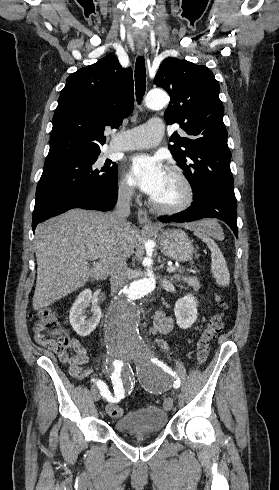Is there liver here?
Wrapping results in <instances>:
<instances>
[{"label":"liver","instance_id":"1","mask_svg":"<svg viewBox=\"0 0 279 490\" xmlns=\"http://www.w3.org/2000/svg\"><path fill=\"white\" fill-rule=\"evenodd\" d=\"M182 226L194 232L199 222ZM126 232L128 236H123L118 228L109 226V214L80 208L38 224L34 242V310L46 308L82 288L89 278L106 280L115 262L127 260L134 252V228L129 226ZM89 262H94L93 268Z\"/></svg>","mask_w":279,"mask_h":490}]
</instances>
